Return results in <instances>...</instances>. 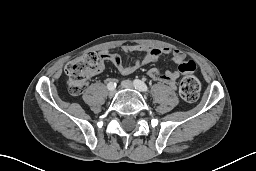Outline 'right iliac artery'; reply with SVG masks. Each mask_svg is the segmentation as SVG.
Here are the masks:
<instances>
[{"mask_svg":"<svg viewBox=\"0 0 256 171\" xmlns=\"http://www.w3.org/2000/svg\"><path fill=\"white\" fill-rule=\"evenodd\" d=\"M107 87H108L109 90L112 89V88H115L116 87V83L115 82H109L107 84Z\"/></svg>","mask_w":256,"mask_h":171,"instance_id":"82829eb1","label":"right iliac artery"}]
</instances>
